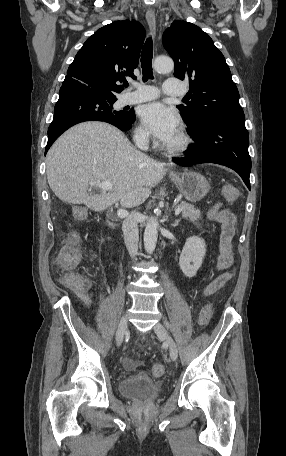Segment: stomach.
<instances>
[{
    "mask_svg": "<svg viewBox=\"0 0 286 456\" xmlns=\"http://www.w3.org/2000/svg\"><path fill=\"white\" fill-rule=\"evenodd\" d=\"M170 177L185 198L193 203L203 199L210 189L205 177L194 171L172 173Z\"/></svg>",
    "mask_w": 286,
    "mask_h": 456,
    "instance_id": "0dacf381",
    "label": "stomach"
}]
</instances>
